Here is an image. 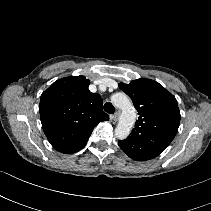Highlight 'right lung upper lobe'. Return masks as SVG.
<instances>
[{"label":"right lung upper lobe","mask_w":211,"mask_h":211,"mask_svg":"<svg viewBox=\"0 0 211 211\" xmlns=\"http://www.w3.org/2000/svg\"><path fill=\"white\" fill-rule=\"evenodd\" d=\"M84 76L57 80L40 98V117L50 144L59 152L71 154L82 149L94 127L109 120L99 94L88 89Z\"/></svg>","instance_id":"right-lung-upper-lobe-1"}]
</instances>
